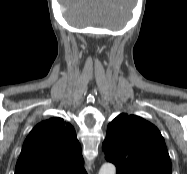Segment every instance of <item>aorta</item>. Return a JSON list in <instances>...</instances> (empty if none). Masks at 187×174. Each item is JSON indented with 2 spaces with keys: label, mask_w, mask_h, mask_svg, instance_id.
I'll return each instance as SVG.
<instances>
[{
  "label": "aorta",
  "mask_w": 187,
  "mask_h": 174,
  "mask_svg": "<svg viewBox=\"0 0 187 174\" xmlns=\"http://www.w3.org/2000/svg\"><path fill=\"white\" fill-rule=\"evenodd\" d=\"M99 174H116V167L112 163H105L100 168Z\"/></svg>",
  "instance_id": "1"
}]
</instances>
